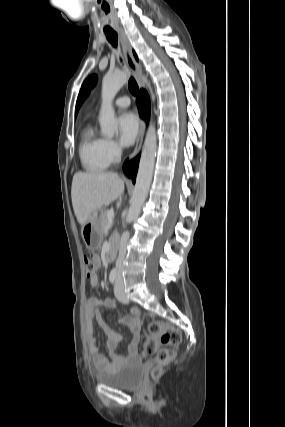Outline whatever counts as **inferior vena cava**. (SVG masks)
Here are the masks:
<instances>
[{
    "label": "inferior vena cava",
    "mask_w": 285,
    "mask_h": 427,
    "mask_svg": "<svg viewBox=\"0 0 285 427\" xmlns=\"http://www.w3.org/2000/svg\"><path fill=\"white\" fill-rule=\"evenodd\" d=\"M129 238V232H124L120 239L119 255L116 261V269L118 274L121 272L123 261L126 255V244Z\"/></svg>",
    "instance_id": "obj_1"
}]
</instances>
